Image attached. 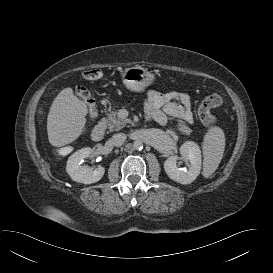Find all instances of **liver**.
Listing matches in <instances>:
<instances>
[{"label":"liver","instance_id":"obj_1","mask_svg":"<svg viewBox=\"0 0 273 273\" xmlns=\"http://www.w3.org/2000/svg\"><path fill=\"white\" fill-rule=\"evenodd\" d=\"M88 108L74 96L70 88L62 90L54 99L47 118L50 144L62 147L75 141L84 132Z\"/></svg>","mask_w":273,"mask_h":273}]
</instances>
